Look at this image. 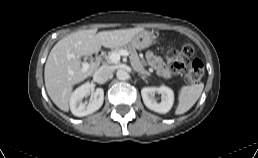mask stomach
I'll return each instance as SVG.
<instances>
[{
	"instance_id": "0dacf381",
	"label": "stomach",
	"mask_w": 258,
	"mask_h": 158,
	"mask_svg": "<svg viewBox=\"0 0 258 158\" xmlns=\"http://www.w3.org/2000/svg\"><path fill=\"white\" fill-rule=\"evenodd\" d=\"M154 40L153 34L149 31L142 30L137 33L129 42V45L136 49H145L152 45Z\"/></svg>"
}]
</instances>
